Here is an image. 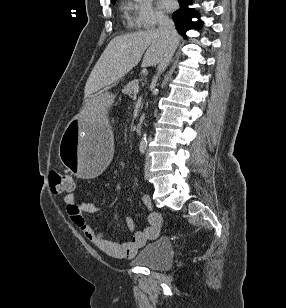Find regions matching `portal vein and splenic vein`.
<instances>
[{
	"label": "portal vein and splenic vein",
	"mask_w": 286,
	"mask_h": 308,
	"mask_svg": "<svg viewBox=\"0 0 286 308\" xmlns=\"http://www.w3.org/2000/svg\"><path fill=\"white\" fill-rule=\"evenodd\" d=\"M139 89H140L139 85H136L134 88V93L137 94L139 92Z\"/></svg>",
	"instance_id": "obj_1"
}]
</instances>
